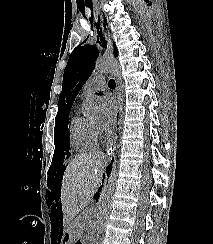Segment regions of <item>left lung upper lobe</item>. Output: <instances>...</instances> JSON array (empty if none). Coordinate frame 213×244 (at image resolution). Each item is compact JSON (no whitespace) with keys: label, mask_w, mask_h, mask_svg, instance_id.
<instances>
[{"label":"left lung upper lobe","mask_w":213,"mask_h":244,"mask_svg":"<svg viewBox=\"0 0 213 244\" xmlns=\"http://www.w3.org/2000/svg\"><path fill=\"white\" fill-rule=\"evenodd\" d=\"M97 38V45L80 44L69 56L63 75V89L58 102L57 118L68 112L74 99L91 75L95 61L99 56V46H104L102 34ZM114 55H117L116 48Z\"/></svg>","instance_id":"obj_1"}]
</instances>
